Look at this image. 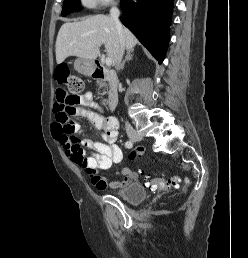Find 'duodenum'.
I'll use <instances>...</instances> for the list:
<instances>
[{
	"mask_svg": "<svg viewBox=\"0 0 248 258\" xmlns=\"http://www.w3.org/2000/svg\"><path fill=\"white\" fill-rule=\"evenodd\" d=\"M92 77L95 80H105L110 84L108 106L111 111H114L118 104V79L116 73L112 70L104 69L101 63L96 60L93 63Z\"/></svg>",
	"mask_w": 248,
	"mask_h": 258,
	"instance_id": "410a0bca",
	"label": "duodenum"
}]
</instances>
